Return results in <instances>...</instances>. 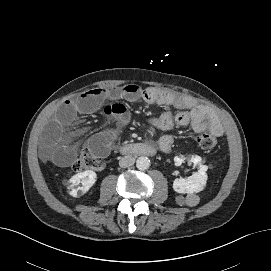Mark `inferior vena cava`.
Segmentation results:
<instances>
[{"instance_id": "602c4592", "label": "inferior vena cava", "mask_w": 271, "mask_h": 271, "mask_svg": "<svg viewBox=\"0 0 271 271\" xmlns=\"http://www.w3.org/2000/svg\"><path fill=\"white\" fill-rule=\"evenodd\" d=\"M135 163V158L131 155L122 157L119 160V166L122 168L130 167Z\"/></svg>"}]
</instances>
